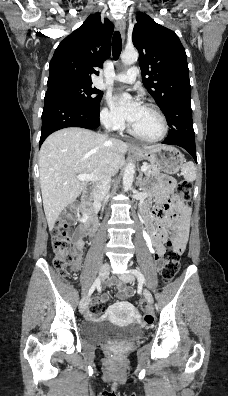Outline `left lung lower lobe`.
I'll list each match as a JSON object with an SVG mask.
<instances>
[{"label":"left lung lower lobe","mask_w":228,"mask_h":396,"mask_svg":"<svg viewBox=\"0 0 228 396\" xmlns=\"http://www.w3.org/2000/svg\"><path fill=\"white\" fill-rule=\"evenodd\" d=\"M179 104L182 112L175 116L174 105ZM171 104L163 113L170 127L167 138L162 142L168 145H178L187 150L197 163L195 137L192 122V109L189 98H183Z\"/></svg>","instance_id":"left-lung-lower-lobe-1"}]
</instances>
